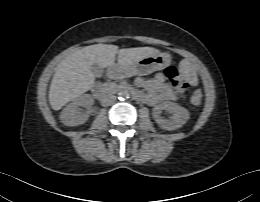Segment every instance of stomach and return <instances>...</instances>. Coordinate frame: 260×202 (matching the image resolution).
<instances>
[{
	"label": "stomach",
	"instance_id": "0dacf381",
	"mask_svg": "<svg viewBox=\"0 0 260 202\" xmlns=\"http://www.w3.org/2000/svg\"><path fill=\"white\" fill-rule=\"evenodd\" d=\"M170 62L171 56L169 54L158 53L146 56L130 65H114L111 68V72L118 78H126L137 74L145 75L156 70L164 69Z\"/></svg>",
	"mask_w": 260,
	"mask_h": 202
}]
</instances>
